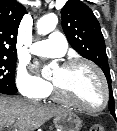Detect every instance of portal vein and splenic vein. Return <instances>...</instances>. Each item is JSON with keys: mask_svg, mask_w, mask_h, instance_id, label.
Returning <instances> with one entry per match:
<instances>
[{"mask_svg": "<svg viewBox=\"0 0 117 131\" xmlns=\"http://www.w3.org/2000/svg\"><path fill=\"white\" fill-rule=\"evenodd\" d=\"M13 123H14L13 121H10V122H9L10 125L13 124Z\"/></svg>", "mask_w": 117, "mask_h": 131, "instance_id": "18ae733b", "label": "portal vein and splenic vein"}]
</instances>
